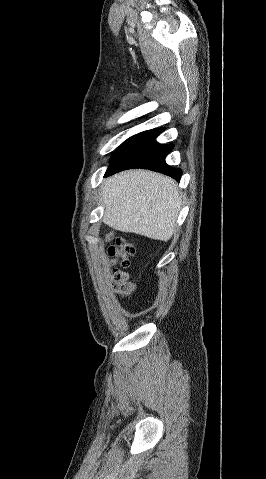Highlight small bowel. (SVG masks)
Wrapping results in <instances>:
<instances>
[{
	"label": "small bowel",
	"mask_w": 266,
	"mask_h": 479,
	"mask_svg": "<svg viewBox=\"0 0 266 479\" xmlns=\"http://www.w3.org/2000/svg\"><path fill=\"white\" fill-rule=\"evenodd\" d=\"M134 290H135L134 286L129 285L126 289H123L121 291V294H122L123 297L127 298V297H130L133 294Z\"/></svg>",
	"instance_id": "c3829d8e"
}]
</instances>
